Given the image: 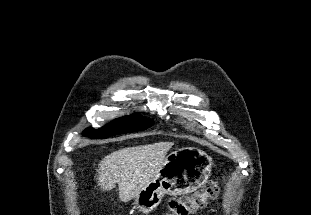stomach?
<instances>
[{"instance_id": "1", "label": "stomach", "mask_w": 311, "mask_h": 215, "mask_svg": "<svg viewBox=\"0 0 311 215\" xmlns=\"http://www.w3.org/2000/svg\"><path fill=\"white\" fill-rule=\"evenodd\" d=\"M211 158L195 147L178 149L165 157L156 175L135 198L134 204L143 211L157 207L165 194L182 195L196 191L208 180Z\"/></svg>"}]
</instances>
